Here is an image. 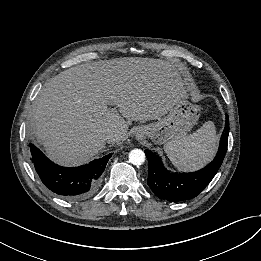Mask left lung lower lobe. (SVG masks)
I'll return each instance as SVG.
<instances>
[{"instance_id":"0a47b994","label":"left lung lower lobe","mask_w":261,"mask_h":261,"mask_svg":"<svg viewBox=\"0 0 261 261\" xmlns=\"http://www.w3.org/2000/svg\"><path fill=\"white\" fill-rule=\"evenodd\" d=\"M229 117L226 115L225 129L221 136L218 152L214 160L196 172L173 173L168 171L158 155L145 150L149 162L148 185L160 199L179 202L190 200L201 193L220 168L227 151Z\"/></svg>"}]
</instances>
